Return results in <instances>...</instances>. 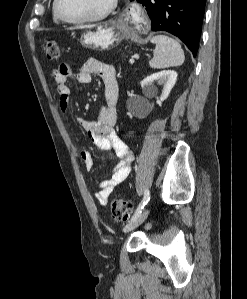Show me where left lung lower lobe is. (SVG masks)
Instances as JSON below:
<instances>
[{"label": "left lung lower lobe", "mask_w": 247, "mask_h": 299, "mask_svg": "<svg viewBox=\"0 0 247 299\" xmlns=\"http://www.w3.org/2000/svg\"><path fill=\"white\" fill-rule=\"evenodd\" d=\"M147 7L152 31L180 38L196 57L206 0H137Z\"/></svg>", "instance_id": "left-lung-lower-lobe-1"}]
</instances>
